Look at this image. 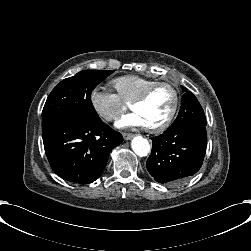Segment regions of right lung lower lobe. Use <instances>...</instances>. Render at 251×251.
I'll return each instance as SVG.
<instances>
[{
  "mask_svg": "<svg viewBox=\"0 0 251 251\" xmlns=\"http://www.w3.org/2000/svg\"><path fill=\"white\" fill-rule=\"evenodd\" d=\"M44 149L53 171L76 184L92 183L103 172L111 150L123 137L101 119L63 118L42 129Z\"/></svg>",
  "mask_w": 251,
  "mask_h": 251,
  "instance_id": "obj_1",
  "label": "right lung lower lobe"
}]
</instances>
